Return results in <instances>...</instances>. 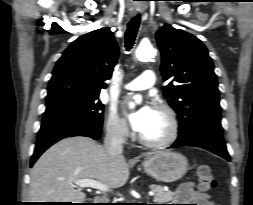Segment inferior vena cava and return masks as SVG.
<instances>
[{
  "mask_svg": "<svg viewBox=\"0 0 253 205\" xmlns=\"http://www.w3.org/2000/svg\"><path fill=\"white\" fill-rule=\"evenodd\" d=\"M125 134L126 127L124 125L112 126L107 129L104 147L111 156L122 155Z\"/></svg>",
  "mask_w": 253,
  "mask_h": 205,
  "instance_id": "602c4592",
  "label": "inferior vena cava"
}]
</instances>
